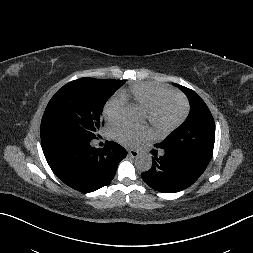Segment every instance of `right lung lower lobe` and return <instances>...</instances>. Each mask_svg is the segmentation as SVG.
<instances>
[{
    "mask_svg": "<svg viewBox=\"0 0 253 253\" xmlns=\"http://www.w3.org/2000/svg\"><path fill=\"white\" fill-rule=\"evenodd\" d=\"M90 142L59 136L41 140L45 158L55 175L83 193L107 185L126 156V150L115 142L107 141L102 149L92 147Z\"/></svg>",
    "mask_w": 253,
    "mask_h": 253,
    "instance_id": "1",
    "label": "right lung lower lobe"
}]
</instances>
